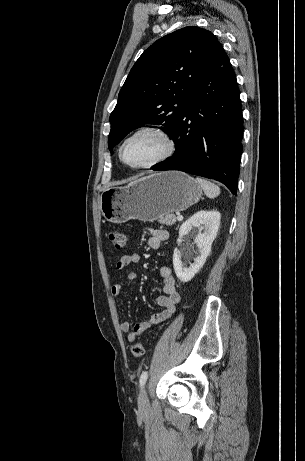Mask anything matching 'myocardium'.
Listing matches in <instances>:
<instances>
[{
  "mask_svg": "<svg viewBox=\"0 0 305 461\" xmlns=\"http://www.w3.org/2000/svg\"><path fill=\"white\" fill-rule=\"evenodd\" d=\"M147 133L155 134L162 139V141L164 142V146H165L163 152L159 156H157L156 158H154L153 160L145 164H141V165L129 164L124 159L123 151H124L125 145L127 144V142H129L134 137L141 135V134H147ZM175 150H176V143L174 139L172 138V136L170 135V133L166 130V128H164L162 125H159V124H148V125H144V126H141L135 129L122 141L119 147V158L121 162L129 168L136 169V170H144V169L152 168L166 161L174 154Z\"/></svg>",
  "mask_w": 305,
  "mask_h": 461,
  "instance_id": "f54148a6",
  "label": "myocardium"
}]
</instances>
